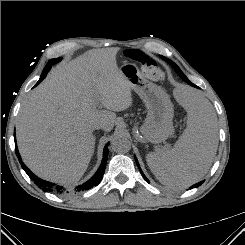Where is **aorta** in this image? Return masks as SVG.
I'll list each match as a JSON object with an SVG mask.
<instances>
[{
  "mask_svg": "<svg viewBox=\"0 0 245 245\" xmlns=\"http://www.w3.org/2000/svg\"><path fill=\"white\" fill-rule=\"evenodd\" d=\"M111 148L116 153H127L131 148V143L125 136L117 135L111 141Z\"/></svg>",
  "mask_w": 245,
  "mask_h": 245,
  "instance_id": "obj_1",
  "label": "aorta"
}]
</instances>
